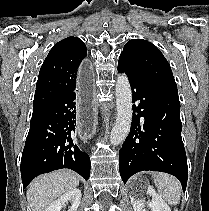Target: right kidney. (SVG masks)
<instances>
[{
  "mask_svg": "<svg viewBox=\"0 0 209 211\" xmlns=\"http://www.w3.org/2000/svg\"><path fill=\"white\" fill-rule=\"evenodd\" d=\"M81 200V191L79 189H72L57 200L53 201L45 211H60L63 207L66 206V203L71 202V206L68 211H77V208Z\"/></svg>",
  "mask_w": 209,
  "mask_h": 211,
  "instance_id": "obj_1",
  "label": "right kidney"
}]
</instances>
